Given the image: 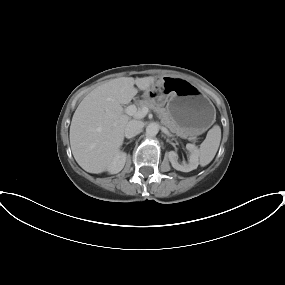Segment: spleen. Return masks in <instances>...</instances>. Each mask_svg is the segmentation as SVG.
Masks as SVG:
<instances>
[{"label": "spleen", "instance_id": "1", "mask_svg": "<svg viewBox=\"0 0 285 285\" xmlns=\"http://www.w3.org/2000/svg\"><path fill=\"white\" fill-rule=\"evenodd\" d=\"M221 141V128L214 125L199 148L200 165H208L215 157Z\"/></svg>", "mask_w": 285, "mask_h": 285}]
</instances>
